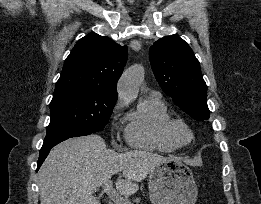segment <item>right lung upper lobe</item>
Listing matches in <instances>:
<instances>
[{
	"label": "right lung upper lobe",
	"instance_id": "right-lung-upper-lobe-1",
	"mask_svg": "<svg viewBox=\"0 0 261 204\" xmlns=\"http://www.w3.org/2000/svg\"><path fill=\"white\" fill-rule=\"evenodd\" d=\"M128 57L127 47L98 34L77 41L66 58L54 95L88 90L117 98V81Z\"/></svg>",
	"mask_w": 261,
	"mask_h": 204
}]
</instances>
